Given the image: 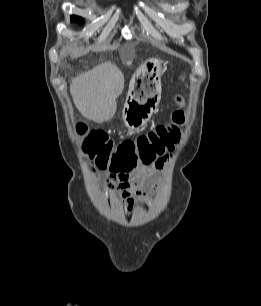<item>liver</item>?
<instances>
[{"instance_id":"obj_1","label":"liver","mask_w":261,"mask_h":306,"mask_svg":"<svg viewBox=\"0 0 261 306\" xmlns=\"http://www.w3.org/2000/svg\"><path fill=\"white\" fill-rule=\"evenodd\" d=\"M124 89V75L107 62L75 77L70 94L79 112L96 123L110 120L117 109L116 99Z\"/></svg>"}]
</instances>
